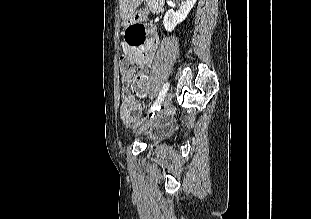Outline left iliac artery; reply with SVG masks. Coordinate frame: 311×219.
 <instances>
[{
	"instance_id": "1",
	"label": "left iliac artery",
	"mask_w": 311,
	"mask_h": 219,
	"mask_svg": "<svg viewBox=\"0 0 311 219\" xmlns=\"http://www.w3.org/2000/svg\"><path fill=\"white\" fill-rule=\"evenodd\" d=\"M169 86H170L169 82H167V83L164 84L162 90H161L160 93H159L158 98L156 99V101L154 102V104L151 106V108H150L148 114L154 112V110L161 104V102L163 101V99H164V97H165V95H166V93H167V91H168V89H169Z\"/></svg>"
}]
</instances>
